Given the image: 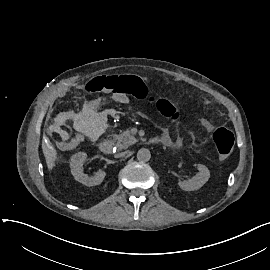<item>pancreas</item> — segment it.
Segmentation results:
<instances>
[{"label":"pancreas","mask_w":270,"mask_h":270,"mask_svg":"<svg viewBox=\"0 0 270 270\" xmlns=\"http://www.w3.org/2000/svg\"><path fill=\"white\" fill-rule=\"evenodd\" d=\"M114 138L117 140L116 147L120 150L128 148L132 143L136 141L129 130L124 131L120 135H114Z\"/></svg>","instance_id":"1"}]
</instances>
